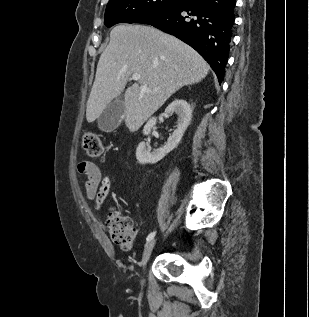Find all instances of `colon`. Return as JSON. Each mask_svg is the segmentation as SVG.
Wrapping results in <instances>:
<instances>
[{"label":"colon","instance_id":"obj_1","mask_svg":"<svg viewBox=\"0 0 309 317\" xmlns=\"http://www.w3.org/2000/svg\"><path fill=\"white\" fill-rule=\"evenodd\" d=\"M82 146L86 154L92 158H99L103 153V145L98 135L86 131L82 136ZM107 232L111 240L123 249L132 246L135 237V225L131 218L117 211H111L106 220Z\"/></svg>","mask_w":309,"mask_h":317}]
</instances>
